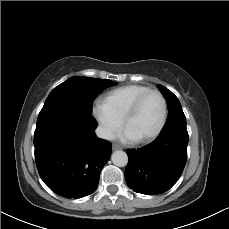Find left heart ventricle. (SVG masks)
Segmentation results:
<instances>
[{
    "instance_id": "1",
    "label": "left heart ventricle",
    "mask_w": 229,
    "mask_h": 229,
    "mask_svg": "<svg viewBox=\"0 0 229 229\" xmlns=\"http://www.w3.org/2000/svg\"><path fill=\"white\" fill-rule=\"evenodd\" d=\"M162 101L157 94L147 96L137 112L128 122L125 132L133 139H140L153 133L162 119Z\"/></svg>"
}]
</instances>
